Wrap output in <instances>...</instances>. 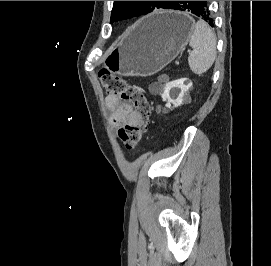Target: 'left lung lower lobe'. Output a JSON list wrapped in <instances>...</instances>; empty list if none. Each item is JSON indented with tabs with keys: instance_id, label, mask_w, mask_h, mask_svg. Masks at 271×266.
Returning <instances> with one entry per match:
<instances>
[{
	"instance_id": "obj_1",
	"label": "left lung lower lobe",
	"mask_w": 271,
	"mask_h": 266,
	"mask_svg": "<svg viewBox=\"0 0 271 266\" xmlns=\"http://www.w3.org/2000/svg\"><path fill=\"white\" fill-rule=\"evenodd\" d=\"M168 9L189 11L199 16L211 27L214 26V20L208 9L207 1H174V3Z\"/></svg>"
}]
</instances>
